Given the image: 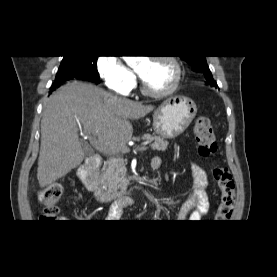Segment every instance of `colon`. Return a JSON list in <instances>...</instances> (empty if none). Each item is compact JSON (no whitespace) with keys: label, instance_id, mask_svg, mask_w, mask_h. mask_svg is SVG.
<instances>
[{"label":"colon","instance_id":"1","mask_svg":"<svg viewBox=\"0 0 277 277\" xmlns=\"http://www.w3.org/2000/svg\"><path fill=\"white\" fill-rule=\"evenodd\" d=\"M194 137L198 150L203 157H212L217 152V143L213 126L208 117L200 115L194 123ZM212 176L219 191V202L215 218L219 222H226L233 214L235 204V184L231 172L226 166L216 165L212 169ZM63 194V187L53 183L39 192V201L43 205L40 216L42 222H57L59 214L58 202Z\"/></svg>","mask_w":277,"mask_h":277}]
</instances>
